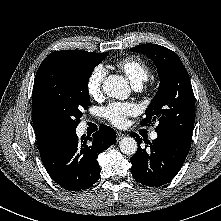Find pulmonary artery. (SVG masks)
<instances>
[{
  "mask_svg": "<svg viewBox=\"0 0 221 221\" xmlns=\"http://www.w3.org/2000/svg\"><path fill=\"white\" fill-rule=\"evenodd\" d=\"M135 87H136L137 89H139L138 86H135ZM157 137H158V134H157L156 131L151 132V134H150V138H151L152 140L157 139Z\"/></svg>",
  "mask_w": 221,
  "mask_h": 221,
  "instance_id": "pulmonary-artery-1",
  "label": "pulmonary artery"
}]
</instances>
